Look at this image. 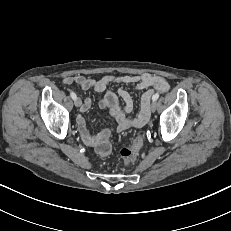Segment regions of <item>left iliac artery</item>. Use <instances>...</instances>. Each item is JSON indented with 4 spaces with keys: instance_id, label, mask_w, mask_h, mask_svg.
I'll use <instances>...</instances> for the list:
<instances>
[{
    "instance_id": "obj_1",
    "label": "left iliac artery",
    "mask_w": 231,
    "mask_h": 231,
    "mask_svg": "<svg viewBox=\"0 0 231 231\" xmlns=\"http://www.w3.org/2000/svg\"><path fill=\"white\" fill-rule=\"evenodd\" d=\"M158 98H159V94L156 93V94L153 95L152 100L156 101Z\"/></svg>"
}]
</instances>
